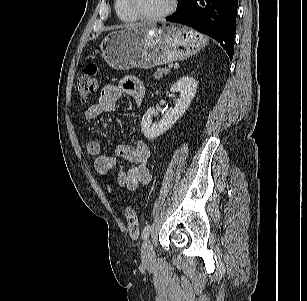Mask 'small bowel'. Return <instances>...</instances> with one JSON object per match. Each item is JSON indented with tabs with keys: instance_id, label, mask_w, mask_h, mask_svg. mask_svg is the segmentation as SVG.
I'll return each mask as SVG.
<instances>
[{
	"instance_id": "obj_1",
	"label": "small bowel",
	"mask_w": 307,
	"mask_h": 301,
	"mask_svg": "<svg viewBox=\"0 0 307 301\" xmlns=\"http://www.w3.org/2000/svg\"><path fill=\"white\" fill-rule=\"evenodd\" d=\"M145 87L136 77H126L119 85H105L98 101L91 105L85 112V119L93 121L104 113L116 110V105L123 95L130 96L137 104L144 97ZM87 151L93 158L94 170L106 176L116 167L118 159H123L134 164L127 170H120L116 176L119 188L135 190L139 185H146L151 179L149 172L150 147L144 141L135 144H120L113 155L102 153L99 141L91 140L87 144Z\"/></svg>"
}]
</instances>
